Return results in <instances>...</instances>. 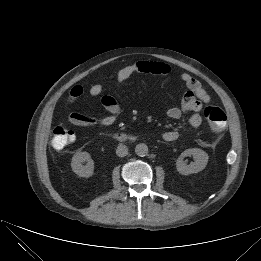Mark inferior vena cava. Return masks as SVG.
<instances>
[{"label":"inferior vena cava","instance_id":"1","mask_svg":"<svg viewBox=\"0 0 261 261\" xmlns=\"http://www.w3.org/2000/svg\"><path fill=\"white\" fill-rule=\"evenodd\" d=\"M116 154L119 157H124L128 154V148L126 145L120 144L116 149Z\"/></svg>","mask_w":261,"mask_h":261}]
</instances>
